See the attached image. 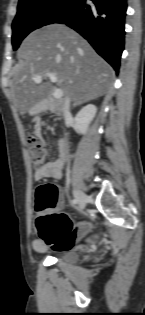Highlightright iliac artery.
Segmentation results:
<instances>
[{"instance_id": "1", "label": "right iliac artery", "mask_w": 145, "mask_h": 315, "mask_svg": "<svg viewBox=\"0 0 145 315\" xmlns=\"http://www.w3.org/2000/svg\"><path fill=\"white\" fill-rule=\"evenodd\" d=\"M71 204H72L73 206L76 205V204H77V200H76V199L71 200Z\"/></svg>"}]
</instances>
